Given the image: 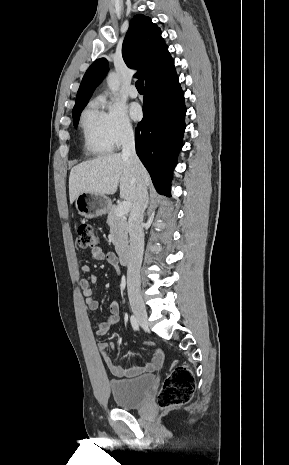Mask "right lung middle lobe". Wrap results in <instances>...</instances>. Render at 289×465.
<instances>
[{
  "mask_svg": "<svg viewBox=\"0 0 289 465\" xmlns=\"http://www.w3.org/2000/svg\"><path fill=\"white\" fill-rule=\"evenodd\" d=\"M87 103H88V100L79 101L75 103V106L73 108V123L75 127H77L81 111L83 110V108L86 106Z\"/></svg>",
  "mask_w": 289,
  "mask_h": 465,
  "instance_id": "dd1d6c3e",
  "label": "right lung middle lobe"
}]
</instances>
